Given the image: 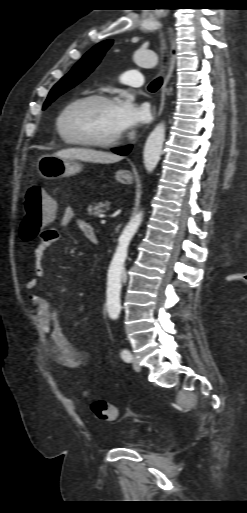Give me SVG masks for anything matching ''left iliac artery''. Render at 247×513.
<instances>
[{"label":"left iliac artery","instance_id":"1","mask_svg":"<svg viewBox=\"0 0 247 513\" xmlns=\"http://www.w3.org/2000/svg\"><path fill=\"white\" fill-rule=\"evenodd\" d=\"M121 357H122V359H123L125 362H131V360H132V355H131L130 351H129V350H127V349H123V350L121 351Z\"/></svg>","mask_w":247,"mask_h":513}]
</instances>
